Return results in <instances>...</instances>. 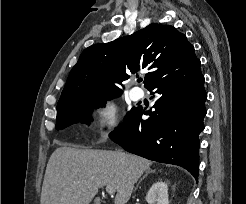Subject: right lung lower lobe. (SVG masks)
Here are the masks:
<instances>
[{"instance_id": "98d812e1", "label": "right lung lower lobe", "mask_w": 246, "mask_h": 204, "mask_svg": "<svg viewBox=\"0 0 246 204\" xmlns=\"http://www.w3.org/2000/svg\"><path fill=\"white\" fill-rule=\"evenodd\" d=\"M147 89L159 94L155 110L134 108L110 138L128 152L184 167L197 180L199 134L204 129L207 98L200 61L163 76ZM142 114L150 117L142 120Z\"/></svg>"}]
</instances>
